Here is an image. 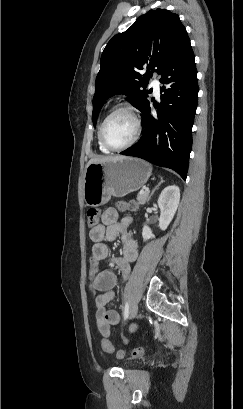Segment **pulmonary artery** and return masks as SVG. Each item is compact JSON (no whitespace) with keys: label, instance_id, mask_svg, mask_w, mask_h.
Masks as SVG:
<instances>
[{"label":"pulmonary artery","instance_id":"pulmonary-artery-1","mask_svg":"<svg viewBox=\"0 0 243 409\" xmlns=\"http://www.w3.org/2000/svg\"><path fill=\"white\" fill-rule=\"evenodd\" d=\"M151 86L153 87L154 93L158 95L160 91V81L158 77H153Z\"/></svg>","mask_w":243,"mask_h":409}]
</instances>
